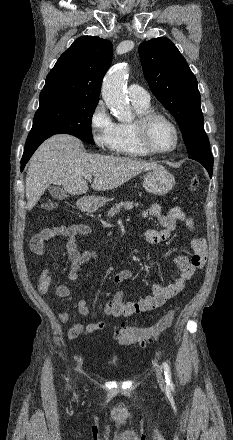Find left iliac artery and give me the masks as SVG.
Here are the masks:
<instances>
[{
    "mask_svg": "<svg viewBox=\"0 0 233 440\" xmlns=\"http://www.w3.org/2000/svg\"><path fill=\"white\" fill-rule=\"evenodd\" d=\"M163 369H164V375H165V380H166L165 382H166V385H167L169 388L173 389L174 386H173V382H172V377H171L170 367H169V365H168L166 362L163 363Z\"/></svg>",
    "mask_w": 233,
    "mask_h": 440,
    "instance_id": "left-iliac-artery-1",
    "label": "left iliac artery"
}]
</instances>
